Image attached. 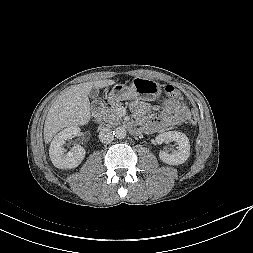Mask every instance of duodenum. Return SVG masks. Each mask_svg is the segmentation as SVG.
I'll return each instance as SVG.
<instances>
[{"instance_id": "1", "label": "duodenum", "mask_w": 253, "mask_h": 253, "mask_svg": "<svg viewBox=\"0 0 253 253\" xmlns=\"http://www.w3.org/2000/svg\"><path fill=\"white\" fill-rule=\"evenodd\" d=\"M103 107L99 103H95L92 106V116L95 121H99L102 115Z\"/></svg>"}]
</instances>
